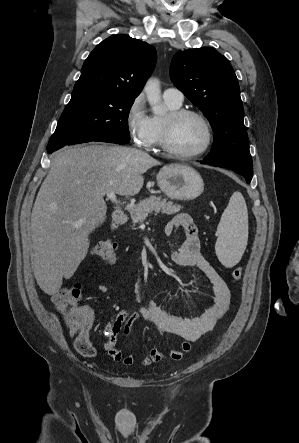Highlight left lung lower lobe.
Masks as SVG:
<instances>
[{"label":"left lung lower lobe","instance_id":"1","mask_svg":"<svg viewBox=\"0 0 299 443\" xmlns=\"http://www.w3.org/2000/svg\"><path fill=\"white\" fill-rule=\"evenodd\" d=\"M201 163H202V164H208V165L214 166V165L208 163V162L205 161V160L202 161ZM230 169L234 170L236 173H238V174H240V175H243V176L246 178V182H247V183H249V182L251 181L252 176H253L252 168H241V167H240V168H230Z\"/></svg>","mask_w":299,"mask_h":443}]
</instances>
